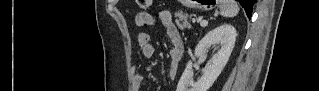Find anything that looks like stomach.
I'll use <instances>...</instances> for the list:
<instances>
[{
    "label": "stomach",
    "instance_id": "stomach-1",
    "mask_svg": "<svg viewBox=\"0 0 319 91\" xmlns=\"http://www.w3.org/2000/svg\"><path fill=\"white\" fill-rule=\"evenodd\" d=\"M183 2L190 7L202 8L204 10L213 9L215 4L217 3L216 0H203V1H197V2L183 1Z\"/></svg>",
    "mask_w": 319,
    "mask_h": 91
}]
</instances>
